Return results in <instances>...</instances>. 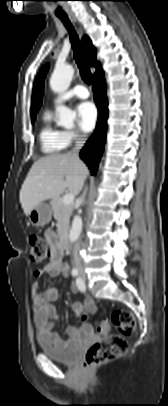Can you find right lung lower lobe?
I'll use <instances>...</instances> for the list:
<instances>
[{
    "mask_svg": "<svg viewBox=\"0 0 168 406\" xmlns=\"http://www.w3.org/2000/svg\"><path fill=\"white\" fill-rule=\"evenodd\" d=\"M93 91L98 107V122L94 133L81 150L80 157L88 164L92 175H95L103 152L107 130L108 103L104 74L94 78Z\"/></svg>",
    "mask_w": 168,
    "mask_h": 406,
    "instance_id": "1",
    "label": "right lung lower lobe"
}]
</instances>
